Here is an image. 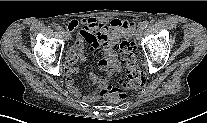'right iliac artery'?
Here are the masks:
<instances>
[{"label": "right iliac artery", "mask_w": 207, "mask_h": 123, "mask_svg": "<svg viewBox=\"0 0 207 123\" xmlns=\"http://www.w3.org/2000/svg\"><path fill=\"white\" fill-rule=\"evenodd\" d=\"M57 30H58L59 32H61V33L64 32V29H63L61 26H57Z\"/></svg>", "instance_id": "obj_1"}]
</instances>
